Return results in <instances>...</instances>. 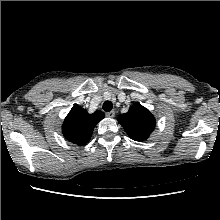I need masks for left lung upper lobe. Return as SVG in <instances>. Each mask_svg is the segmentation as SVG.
Wrapping results in <instances>:
<instances>
[{
    "label": "left lung upper lobe",
    "mask_w": 220,
    "mask_h": 220,
    "mask_svg": "<svg viewBox=\"0 0 220 220\" xmlns=\"http://www.w3.org/2000/svg\"><path fill=\"white\" fill-rule=\"evenodd\" d=\"M118 121L126 133L136 141L146 140L155 128V118L140 103H135L127 113L120 114Z\"/></svg>",
    "instance_id": "left-lung-upper-lobe-1"
}]
</instances>
